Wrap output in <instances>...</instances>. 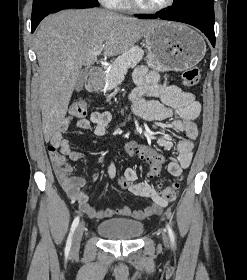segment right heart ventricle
I'll list each match as a JSON object with an SVG mask.
<instances>
[{
  "instance_id": "right-heart-ventricle-1",
  "label": "right heart ventricle",
  "mask_w": 247,
  "mask_h": 280,
  "mask_svg": "<svg viewBox=\"0 0 247 280\" xmlns=\"http://www.w3.org/2000/svg\"><path fill=\"white\" fill-rule=\"evenodd\" d=\"M117 7L120 9H128L129 4H128L127 0H119L117 3Z\"/></svg>"
}]
</instances>
